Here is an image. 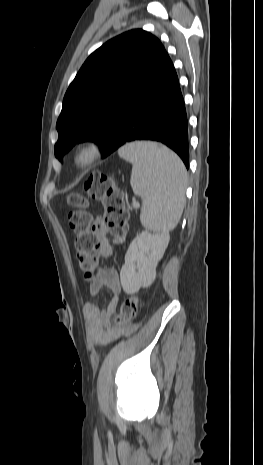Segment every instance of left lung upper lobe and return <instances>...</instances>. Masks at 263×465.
Segmentation results:
<instances>
[{
	"label": "left lung upper lobe",
	"mask_w": 263,
	"mask_h": 465,
	"mask_svg": "<svg viewBox=\"0 0 263 465\" xmlns=\"http://www.w3.org/2000/svg\"><path fill=\"white\" fill-rule=\"evenodd\" d=\"M164 51L158 38L141 29L125 32L94 51L64 96L55 156L61 159L77 142L87 140L104 149L139 81Z\"/></svg>",
	"instance_id": "1"
}]
</instances>
